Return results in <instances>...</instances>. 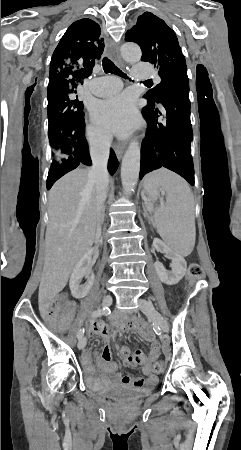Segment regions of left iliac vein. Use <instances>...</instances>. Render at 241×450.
<instances>
[{"instance_id":"left-iliac-vein-1","label":"left iliac vein","mask_w":241,"mask_h":450,"mask_svg":"<svg viewBox=\"0 0 241 450\" xmlns=\"http://www.w3.org/2000/svg\"><path fill=\"white\" fill-rule=\"evenodd\" d=\"M141 311L148 316L149 320L156 324L165 333L164 339L166 340L169 332V325L167 321L158 313L153 304L146 299H139Z\"/></svg>"}]
</instances>
